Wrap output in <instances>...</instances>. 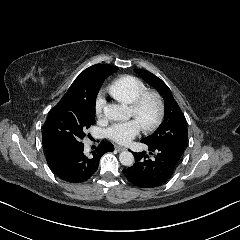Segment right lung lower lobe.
Listing matches in <instances>:
<instances>
[{
	"label": "right lung lower lobe",
	"mask_w": 240,
	"mask_h": 240,
	"mask_svg": "<svg viewBox=\"0 0 240 240\" xmlns=\"http://www.w3.org/2000/svg\"><path fill=\"white\" fill-rule=\"evenodd\" d=\"M114 146L108 141H102L90 155L84 153V144L52 145L45 147L47 162L60 179L79 183L89 179L99 166L102 155L113 151Z\"/></svg>",
	"instance_id": "right-lung-lower-lobe-1"
}]
</instances>
